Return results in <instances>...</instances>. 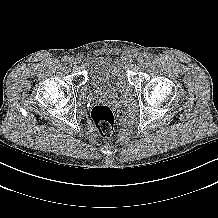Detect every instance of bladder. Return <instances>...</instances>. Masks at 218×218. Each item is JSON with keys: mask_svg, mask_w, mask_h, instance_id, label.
<instances>
[{"mask_svg": "<svg viewBox=\"0 0 218 218\" xmlns=\"http://www.w3.org/2000/svg\"><path fill=\"white\" fill-rule=\"evenodd\" d=\"M89 86L97 92L115 90L119 93L129 88L127 68L121 58L94 55L86 60Z\"/></svg>", "mask_w": 218, "mask_h": 218, "instance_id": "1", "label": "bladder"}]
</instances>
